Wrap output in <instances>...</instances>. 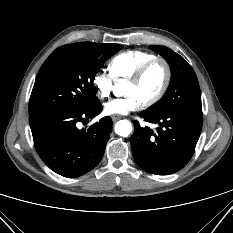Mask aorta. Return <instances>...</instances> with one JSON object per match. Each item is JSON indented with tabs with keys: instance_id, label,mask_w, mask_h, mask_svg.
I'll return each instance as SVG.
<instances>
[{
	"instance_id": "obj_1",
	"label": "aorta",
	"mask_w": 233,
	"mask_h": 233,
	"mask_svg": "<svg viewBox=\"0 0 233 233\" xmlns=\"http://www.w3.org/2000/svg\"><path fill=\"white\" fill-rule=\"evenodd\" d=\"M125 82V80H119L117 83V87L119 89L120 85H122ZM132 131V125L131 122L128 120H120L115 125V133L127 137Z\"/></svg>"
}]
</instances>
